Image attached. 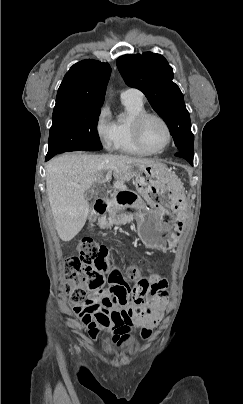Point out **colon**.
Returning <instances> with one entry per match:
<instances>
[{
    "mask_svg": "<svg viewBox=\"0 0 243 404\" xmlns=\"http://www.w3.org/2000/svg\"><path fill=\"white\" fill-rule=\"evenodd\" d=\"M78 255L69 258L66 275L68 278L67 291L74 302H82L86 297V291L81 284L87 283L98 286L97 279L106 273L108 268V249L100 246L91 239H84L77 246ZM132 279H138L136 267L130 269ZM131 300L135 304L144 301V293L135 291Z\"/></svg>",
    "mask_w": 243,
    "mask_h": 404,
    "instance_id": "5ec220e1",
    "label": "colon"
}]
</instances>
